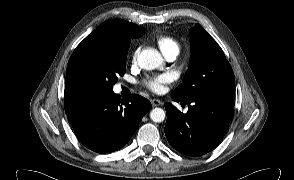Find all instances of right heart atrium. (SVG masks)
<instances>
[{"label": "right heart atrium", "mask_w": 294, "mask_h": 180, "mask_svg": "<svg viewBox=\"0 0 294 180\" xmlns=\"http://www.w3.org/2000/svg\"><path fill=\"white\" fill-rule=\"evenodd\" d=\"M137 58V51H134L132 54V61L135 62Z\"/></svg>", "instance_id": "d8ad5b80"}]
</instances>
